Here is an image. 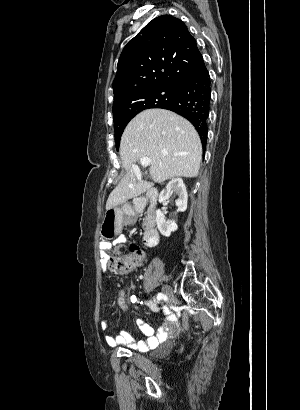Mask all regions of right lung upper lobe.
<instances>
[{
    "label": "right lung upper lobe",
    "mask_w": 300,
    "mask_h": 410,
    "mask_svg": "<svg viewBox=\"0 0 300 410\" xmlns=\"http://www.w3.org/2000/svg\"><path fill=\"white\" fill-rule=\"evenodd\" d=\"M203 57L187 26L171 15L149 22L125 46L113 81V117L134 112L132 103L141 92L180 87Z\"/></svg>",
    "instance_id": "cb5924a9"
}]
</instances>
